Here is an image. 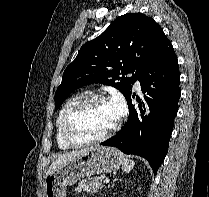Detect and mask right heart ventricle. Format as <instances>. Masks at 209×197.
Returning <instances> with one entry per match:
<instances>
[{"instance_id":"right-heart-ventricle-1","label":"right heart ventricle","mask_w":209,"mask_h":197,"mask_svg":"<svg viewBox=\"0 0 209 197\" xmlns=\"http://www.w3.org/2000/svg\"><path fill=\"white\" fill-rule=\"evenodd\" d=\"M83 98V95H74L66 100V102L63 104L62 108L59 111L57 121H56V140L57 144L60 149L67 150L71 148L69 144H67L63 138V122L66 114L68 111L81 99Z\"/></svg>"}]
</instances>
